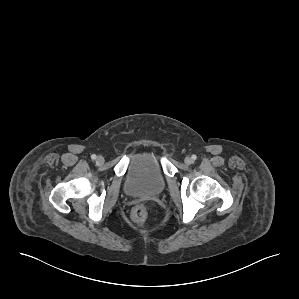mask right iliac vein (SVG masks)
<instances>
[{"instance_id": "right-iliac-vein-1", "label": "right iliac vein", "mask_w": 299, "mask_h": 299, "mask_svg": "<svg viewBox=\"0 0 299 299\" xmlns=\"http://www.w3.org/2000/svg\"><path fill=\"white\" fill-rule=\"evenodd\" d=\"M96 162H97V164H99V165L103 164V163H104V157H103V156H98V157L96 158Z\"/></svg>"}]
</instances>
